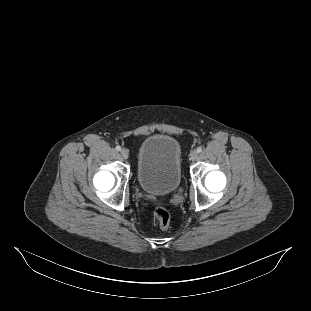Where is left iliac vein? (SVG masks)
<instances>
[{
  "instance_id": "4c4485c4",
  "label": "left iliac vein",
  "mask_w": 311,
  "mask_h": 311,
  "mask_svg": "<svg viewBox=\"0 0 311 311\" xmlns=\"http://www.w3.org/2000/svg\"><path fill=\"white\" fill-rule=\"evenodd\" d=\"M197 156H198L197 150H193V151L190 153V159H191L192 161H194V160L197 158Z\"/></svg>"
}]
</instances>
